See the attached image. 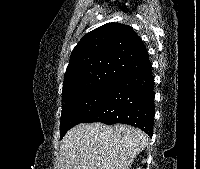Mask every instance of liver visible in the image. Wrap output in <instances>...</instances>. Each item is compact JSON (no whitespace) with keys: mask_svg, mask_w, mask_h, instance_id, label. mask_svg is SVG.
<instances>
[{"mask_svg":"<svg viewBox=\"0 0 200 169\" xmlns=\"http://www.w3.org/2000/svg\"><path fill=\"white\" fill-rule=\"evenodd\" d=\"M148 141L142 130L129 125L82 123L64 136L58 169H130Z\"/></svg>","mask_w":200,"mask_h":169,"instance_id":"obj_1","label":"liver"}]
</instances>
